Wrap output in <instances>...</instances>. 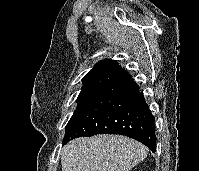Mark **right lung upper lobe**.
I'll return each mask as SVG.
<instances>
[{
    "label": "right lung upper lobe",
    "instance_id": "right-lung-upper-lobe-1",
    "mask_svg": "<svg viewBox=\"0 0 199 171\" xmlns=\"http://www.w3.org/2000/svg\"><path fill=\"white\" fill-rule=\"evenodd\" d=\"M123 72L124 70L118 65L116 61L105 59V60L99 61L90 70V72L85 75V77L83 78V81H86L90 78L97 77V76L115 77Z\"/></svg>",
    "mask_w": 199,
    "mask_h": 171
}]
</instances>
